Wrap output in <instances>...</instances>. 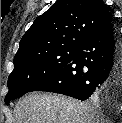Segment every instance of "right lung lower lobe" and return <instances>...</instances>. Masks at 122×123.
I'll use <instances>...</instances> for the list:
<instances>
[{"label":"right lung lower lobe","mask_w":122,"mask_h":123,"mask_svg":"<svg viewBox=\"0 0 122 123\" xmlns=\"http://www.w3.org/2000/svg\"><path fill=\"white\" fill-rule=\"evenodd\" d=\"M31 91H49L87 100L99 94L122 95V40L110 22L93 31L73 59Z\"/></svg>","instance_id":"98d812e1"}]
</instances>
